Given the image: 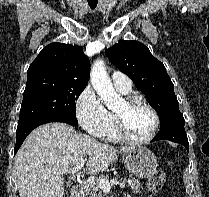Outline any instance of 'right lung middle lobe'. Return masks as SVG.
Instances as JSON below:
<instances>
[{
	"label": "right lung middle lobe",
	"instance_id": "1",
	"mask_svg": "<svg viewBox=\"0 0 209 197\" xmlns=\"http://www.w3.org/2000/svg\"><path fill=\"white\" fill-rule=\"evenodd\" d=\"M85 87L60 81L26 83L18 124L46 116H62L77 121L75 101Z\"/></svg>",
	"mask_w": 209,
	"mask_h": 197
}]
</instances>
